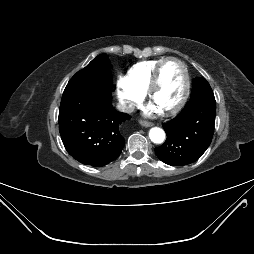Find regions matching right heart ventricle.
<instances>
[{"label": "right heart ventricle", "mask_w": 254, "mask_h": 254, "mask_svg": "<svg viewBox=\"0 0 254 254\" xmlns=\"http://www.w3.org/2000/svg\"><path fill=\"white\" fill-rule=\"evenodd\" d=\"M163 59L159 58L138 62L128 70L127 77L139 91L146 93L154 70Z\"/></svg>", "instance_id": "right-heart-ventricle-1"}]
</instances>
